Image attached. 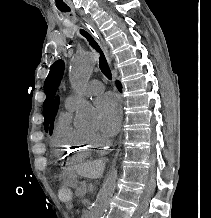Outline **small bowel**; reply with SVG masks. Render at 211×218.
<instances>
[{
  "mask_svg": "<svg viewBox=\"0 0 211 218\" xmlns=\"http://www.w3.org/2000/svg\"><path fill=\"white\" fill-rule=\"evenodd\" d=\"M66 207H67L68 209H71V208L73 207V203H72V202L66 203Z\"/></svg>",
  "mask_w": 211,
  "mask_h": 218,
  "instance_id": "obj_1",
  "label": "small bowel"
}]
</instances>
